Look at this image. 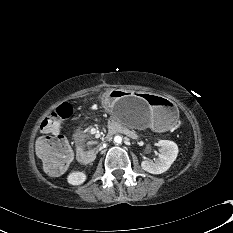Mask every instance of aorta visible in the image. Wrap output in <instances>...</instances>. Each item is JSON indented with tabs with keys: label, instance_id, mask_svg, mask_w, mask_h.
Returning a JSON list of instances; mask_svg holds the SVG:
<instances>
[{
	"label": "aorta",
	"instance_id": "aorta-1",
	"mask_svg": "<svg viewBox=\"0 0 233 233\" xmlns=\"http://www.w3.org/2000/svg\"><path fill=\"white\" fill-rule=\"evenodd\" d=\"M114 143L121 144L122 143V137L117 135L114 137Z\"/></svg>",
	"mask_w": 233,
	"mask_h": 233
}]
</instances>
